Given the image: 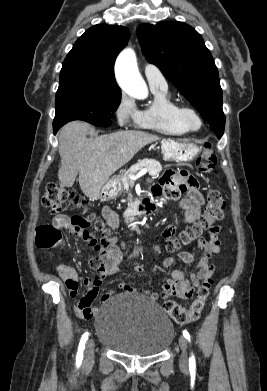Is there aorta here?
Wrapping results in <instances>:
<instances>
[{
	"instance_id": "1",
	"label": "aorta",
	"mask_w": 267,
	"mask_h": 391,
	"mask_svg": "<svg viewBox=\"0 0 267 391\" xmlns=\"http://www.w3.org/2000/svg\"><path fill=\"white\" fill-rule=\"evenodd\" d=\"M115 73L119 86L126 94L140 100L148 97V88L139 73L133 49L126 48L119 54L115 64Z\"/></svg>"
}]
</instances>
